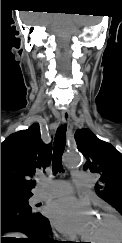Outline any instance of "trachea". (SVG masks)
Returning <instances> with one entry per match:
<instances>
[{
  "label": "trachea",
  "mask_w": 122,
  "mask_h": 243,
  "mask_svg": "<svg viewBox=\"0 0 122 243\" xmlns=\"http://www.w3.org/2000/svg\"><path fill=\"white\" fill-rule=\"evenodd\" d=\"M66 142V126L63 125L58 128L55 139H54V147H53V159H52V167L53 172H61L63 170L62 166V155Z\"/></svg>",
  "instance_id": "3493384b"
}]
</instances>
